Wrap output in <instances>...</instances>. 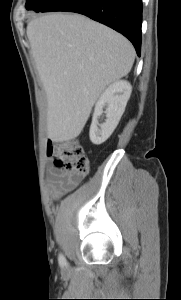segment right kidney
<instances>
[{
	"label": "right kidney",
	"instance_id": "right-kidney-1",
	"mask_svg": "<svg viewBox=\"0 0 181 300\" xmlns=\"http://www.w3.org/2000/svg\"><path fill=\"white\" fill-rule=\"evenodd\" d=\"M131 92V84L125 80L114 82L103 92L95 105L89 132V137L93 144L100 145L111 136L125 111ZM105 106L106 109L103 111ZM103 113L106 119L99 124L98 119Z\"/></svg>",
	"mask_w": 181,
	"mask_h": 300
}]
</instances>
